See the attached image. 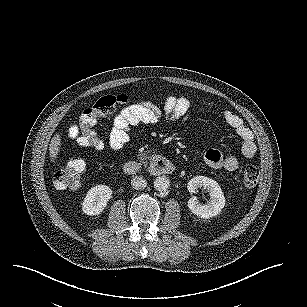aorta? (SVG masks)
<instances>
[{
    "label": "aorta",
    "instance_id": "obj_1",
    "mask_svg": "<svg viewBox=\"0 0 307 307\" xmlns=\"http://www.w3.org/2000/svg\"><path fill=\"white\" fill-rule=\"evenodd\" d=\"M154 187L161 192H165L170 187V179L166 176H159L154 181Z\"/></svg>",
    "mask_w": 307,
    "mask_h": 307
}]
</instances>
